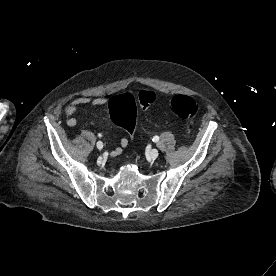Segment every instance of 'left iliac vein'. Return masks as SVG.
<instances>
[{"instance_id":"left-iliac-vein-1","label":"left iliac vein","mask_w":276,"mask_h":276,"mask_svg":"<svg viewBox=\"0 0 276 276\" xmlns=\"http://www.w3.org/2000/svg\"><path fill=\"white\" fill-rule=\"evenodd\" d=\"M158 155H159V151L157 149H152L150 151L151 158L156 159L158 157Z\"/></svg>"}]
</instances>
